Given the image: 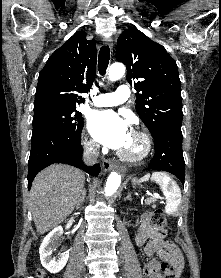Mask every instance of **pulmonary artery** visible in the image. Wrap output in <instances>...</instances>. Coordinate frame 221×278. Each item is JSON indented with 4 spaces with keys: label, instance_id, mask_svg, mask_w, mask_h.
Returning <instances> with one entry per match:
<instances>
[{
    "label": "pulmonary artery",
    "instance_id": "1",
    "mask_svg": "<svg viewBox=\"0 0 221 278\" xmlns=\"http://www.w3.org/2000/svg\"><path fill=\"white\" fill-rule=\"evenodd\" d=\"M130 96L127 85H120L113 93L99 94L92 99V104L98 107H111L124 103Z\"/></svg>",
    "mask_w": 221,
    "mask_h": 278
}]
</instances>
